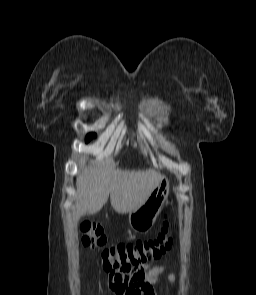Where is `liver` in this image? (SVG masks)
<instances>
[{
    "label": "liver",
    "mask_w": 256,
    "mask_h": 295,
    "mask_svg": "<svg viewBox=\"0 0 256 295\" xmlns=\"http://www.w3.org/2000/svg\"><path fill=\"white\" fill-rule=\"evenodd\" d=\"M161 180V174L153 169L130 171L116 168L113 159L97 167H86L76 180L73 220L77 224L81 216L99 212L109 195L116 212L135 210L146 202Z\"/></svg>",
    "instance_id": "6515ba94"
}]
</instances>
